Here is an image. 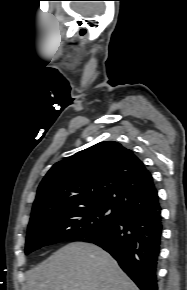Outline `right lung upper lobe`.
Returning <instances> with one entry per match:
<instances>
[{"instance_id":"right-lung-upper-lobe-1","label":"right lung upper lobe","mask_w":187,"mask_h":290,"mask_svg":"<svg viewBox=\"0 0 187 290\" xmlns=\"http://www.w3.org/2000/svg\"><path fill=\"white\" fill-rule=\"evenodd\" d=\"M107 205L122 215L160 206L150 172L131 150L100 142L57 162L40 183L30 223L49 214Z\"/></svg>"}]
</instances>
